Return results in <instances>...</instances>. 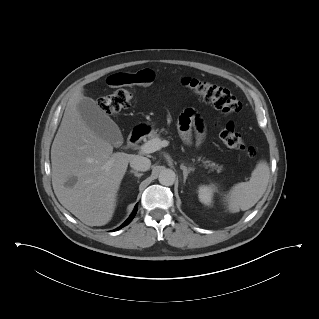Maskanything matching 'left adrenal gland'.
Masks as SVG:
<instances>
[{
    "mask_svg": "<svg viewBox=\"0 0 319 319\" xmlns=\"http://www.w3.org/2000/svg\"><path fill=\"white\" fill-rule=\"evenodd\" d=\"M180 168L181 170H183V181L184 183L186 182V179L188 177V174L191 172V171H194V168L193 167H186L184 166L183 164L180 165Z\"/></svg>",
    "mask_w": 319,
    "mask_h": 319,
    "instance_id": "1",
    "label": "left adrenal gland"
}]
</instances>
